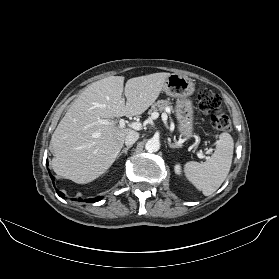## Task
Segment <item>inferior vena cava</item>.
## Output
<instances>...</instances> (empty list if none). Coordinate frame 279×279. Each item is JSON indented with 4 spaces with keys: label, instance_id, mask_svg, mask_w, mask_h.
Returning <instances> with one entry per match:
<instances>
[{
    "label": "inferior vena cava",
    "instance_id": "obj_1",
    "mask_svg": "<svg viewBox=\"0 0 279 279\" xmlns=\"http://www.w3.org/2000/svg\"><path fill=\"white\" fill-rule=\"evenodd\" d=\"M139 138V133L136 131H129L128 134L125 137V144L127 146L133 145Z\"/></svg>",
    "mask_w": 279,
    "mask_h": 279
}]
</instances>
